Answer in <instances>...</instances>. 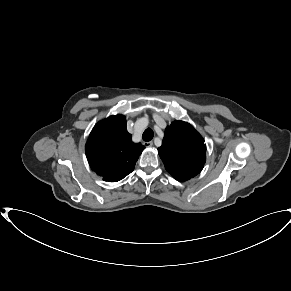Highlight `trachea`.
Instances as JSON below:
<instances>
[{
    "label": "trachea",
    "mask_w": 291,
    "mask_h": 291,
    "mask_svg": "<svg viewBox=\"0 0 291 291\" xmlns=\"http://www.w3.org/2000/svg\"><path fill=\"white\" fill-rule=\"evenodd\" d=\"M153 135H154L153 131L150 128H148L143 132L142 138L144 141L148 142V141L152 140Z\"/></svg>",
    "instance_id": "1"
}]
</instances>
